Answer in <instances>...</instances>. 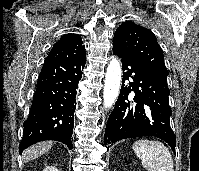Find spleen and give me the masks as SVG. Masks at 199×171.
<instances>
[{
  "mask_svg": "<svg viewBox=\"0 0 199 171\" xmlns=\"http://www.w3.org/2000/svg\"><path fill=\"white\" fill-rule=\"evenodd\" d=\"M133 150L147 171H174L172 156L162 142L141 139L133 144Z\"/></svg>",
  "mask_w": 199,
  "mask_h": 171,
  "instance_id": "3e777b00",
  "label": "spleen"
}]
</instances>
